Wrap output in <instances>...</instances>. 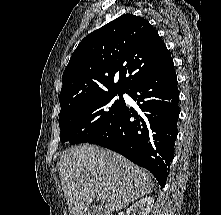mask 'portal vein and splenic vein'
Returning a JSON list of instances; mask_svg holds the SVG:
<instances>
[{
  "mask_svg": "<svg viewBox=\"0 0 221 215\" xmlns=\"http://www.w3.org/2000/svg\"><path fill=\"white\" fill-rule=\"evenodd\" d=\"M97 199L102 201V200H104V197L102 195H98Z\"/></svg>",
  "mask_w": 221,
  "mask_h": 215,
  "instance_id": "1",
  "label": "portal vein and splenic vein"
}]
</instances>
